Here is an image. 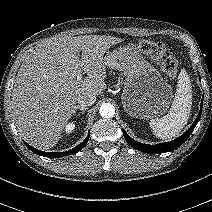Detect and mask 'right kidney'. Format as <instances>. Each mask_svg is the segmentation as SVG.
<instances>
[{
    "label": "right kidney",
    "instance_id": "obj_1",
    "mask_svg": "<svg viewBox=\"0 0 212 212\" xmlns=\"http://www.w3.org/2000/svg\"><path fill=\"white\" fill-rule=\"evenodd\" d=\"M74 127H75L74 123L67 124L65 126V132L68 133V134L71 133L73 131Z\"/></svg>",
    "mask_w": 212,
    "mask_h": 212
}]
</instances>
